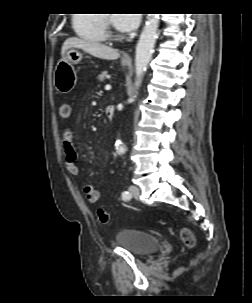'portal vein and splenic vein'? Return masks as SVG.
<instances>
[{"label":"portal vein and splenic vein","mask_w":252,"mask_h":303,"mask_svg":"<svg viewBox=\"0 0 252 303\" xmlns=\"http://www.w3.org/2000/svg\"><path fill=\"white\" fill-rule=\"evenodd\" d=\"M110 89H111V85L107 84V85L105 86V90L108 91V90H110Z\"/></svg>","instance_id":"1"}]
</instances>
